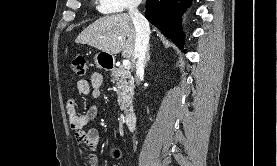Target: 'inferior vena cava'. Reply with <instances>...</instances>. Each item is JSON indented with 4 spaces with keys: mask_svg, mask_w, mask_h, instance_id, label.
Returning a JSON list of instances; mask_svg holds the SVG:
<instances>
[{
    "mask_svg": "<svg viewBox=\"0 0 277 166\" xmlns=\"http://www.w3.org/2000/svg\"><path fill=\"white\" fill-rule=\"evenodd\" d=\"M140 2L141 0H133L129 7V15L132 18L136 30L134 58L137 77L144 73L150 36L149 22L137 8Z\"/></svg>",
    "mask_w": 277,
    "mask_h": 166,
    "instance_id": "inferior-vena-cava-1",
    "label": "inferior vena cava"
}]
</instances>
